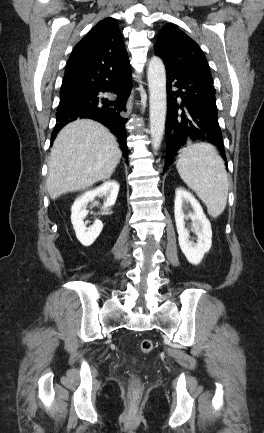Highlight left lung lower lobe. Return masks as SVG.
<instances>
[{"label": "left lung lower lobe", "instance_id": "left-lung-lower-lobe-1", "mask_svg": "<svg viewBox=\"0 0 264 433\" xmlns=\"http://www.w3.org/2000/svg\"><path fill=\"white\" fill-rule=\"evenodd\" d=\"M167 120L165 168L173 162L176 151L190 141L212 143L227 162L218 123L213 80L189 76L166 67ZM177 87V91H172Z\"/></svg>", "mask_w": 264, "mask_h": 433}]
</instances>
